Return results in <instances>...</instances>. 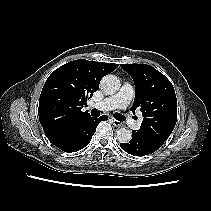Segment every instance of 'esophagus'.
<instances>
[{"mask_svg":"<svg viewBox=\"0 0 211 211\" xmlns=\"http://www.w3.org/2000/svg\"><path fill=\"white\" fill-rule=\"evenodd\" d=\"M112 123H113V125L116 126V127H120V126L122 125L121 122L118 121V120H116V119H113V120H112Z\"/></svg>","mask_w":211,"mask_h":211,"instance_id":"34e87169","label":"esophagus"}]
</instances>
